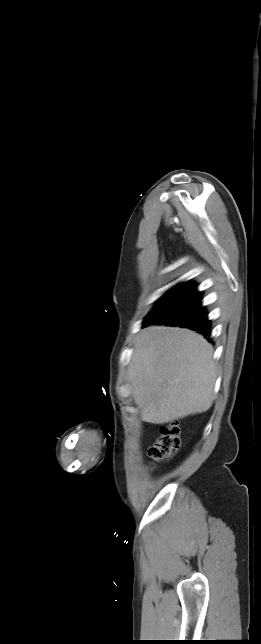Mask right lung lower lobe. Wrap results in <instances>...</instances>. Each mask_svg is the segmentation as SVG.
Instances as JSON below:
<instances>
[{"label": "right lung lower lobe", "instance_id": "1", "mask_svg": "<svg viewBox=\"0 0 261 644\" xmlns=\"http://www.w3.org/2000/svg\"><path fill=\"white\" fill-rule=\"evenodd\" d=\"M207 314L205 307L201 305V294H199L193 300L166 316L158 320L145 322L144 326L162 324L189 328L203 334L210 341L208 336L211 334V323L208 320Z\"/></svg>", "mask_w": 261, "mask_h": 644}]
</instances>
